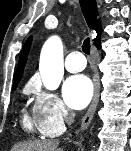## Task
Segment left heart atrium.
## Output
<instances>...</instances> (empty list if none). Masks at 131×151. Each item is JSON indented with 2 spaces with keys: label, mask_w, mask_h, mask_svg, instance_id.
Returning <instances> with one entry per match:
<instances>
[{
  "label": "left heart atrium",
  "mask_w": 131,
  "mask_h": 151,
  "mask_svg": "<svg viewBox=\"0 0 131 151\" xmlns=\"http://www.w3.org/2000/svg\"><path fill=\"white\" fill-rule=\"evenodd\" d=\"M62 92L66 104L79 110L89 103L93 94V84L85 75L71 76L65 81Z\"/></svg>",
  "instance_id": "obj_1"
}]
</instances>
